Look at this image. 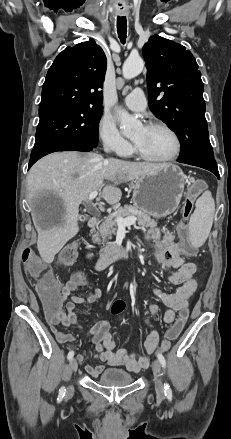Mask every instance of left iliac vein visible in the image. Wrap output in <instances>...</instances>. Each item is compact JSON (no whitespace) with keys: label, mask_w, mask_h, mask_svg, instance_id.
Here are the masks:
<instances>
[{"label":"left iliac vein","mask_w":231,"mask_h":439,"mask_svg":"<svg viewBox=\"0 0 231 439\" xmlns=\"http://www.w3.org/2000/svg\"><path fill=\"white\" fill-rule=\"evenodd\" d=\"M152 369L155 377V391L157 394V397L164 398V388L162 384V371H161V364L158 360H154L152 364Z\"/></svg>","instance_id":"1"}]
</instances>
